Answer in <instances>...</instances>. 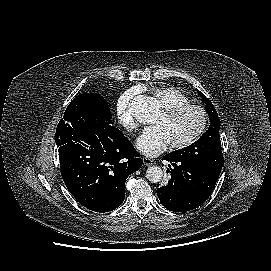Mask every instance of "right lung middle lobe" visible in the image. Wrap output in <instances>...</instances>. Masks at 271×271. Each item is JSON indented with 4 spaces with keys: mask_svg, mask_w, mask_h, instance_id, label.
Masks as SVG:
<instances>
[{
    "mask_svg": "<svg viewBox=\"0 0 271 271\" xmlns=\"http://www.w3.org/2000/svg\"><path fill=\"white\" fill-rule=\"evenodd\" d=\"M110 109L102 96L95 93L78 95L65 110L63 120L112 124Z\"/></svg>",
    "mask_w": 271,
    "mask_h": 271,
    "instance_id": "1",
    "label": "right lung middle lobe"
}]
</instances>
